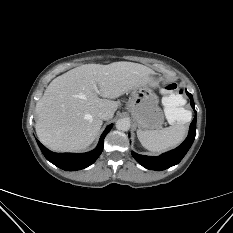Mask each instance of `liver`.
<instances>
[{
    "mask_svg": "<svg viewBox=\"0 0 233 233\" xmlns=\"http://www.w3.org/2000/svg\"><path fill=\"white\" fill-rule=\"evenodd\" d=\"M153 75L154 71L144 65L121 61L85 64L56 77L36 104L39 140L57 152L85 149L103 124L99 111L108 109L114 113L118 102L113 99L140 83L157 86Z\"/></svg>",
    "mask_w": 233,
    "mask_h": 233,
    "instance_id": "liver-1",
    "label": "liver"
}]
</instances>
